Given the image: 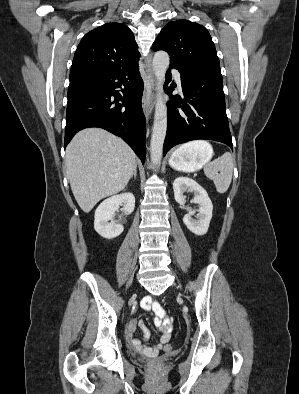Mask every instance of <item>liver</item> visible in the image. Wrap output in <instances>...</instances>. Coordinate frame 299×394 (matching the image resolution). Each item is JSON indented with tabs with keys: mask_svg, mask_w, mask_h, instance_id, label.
Here are the masks:
<instances>
[{
	"mask_svg": "<svg viewBox=\"0 0 299 394\" xmlns=\"http://www.w3.org/2000/svg\"><path fill=\"white\" fill-rule=\"evenodd\" d=\"M65 161L73 195L85 213L101 199L122 191L137 167L133 150L99 128L78 132L66 148Z\"/></svg>",
	"mask_w": 299,
	"mask_h": 394,
	"instance_id": "1",
	"label": "liver"
}]
</instances>
